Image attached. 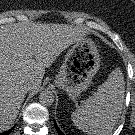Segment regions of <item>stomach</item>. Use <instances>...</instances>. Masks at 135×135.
I'll return each instance as SVG.
<instances>
[{
    "mask_svg": "<svg viewBox=\"0 0 135 135\" xmlns=\"http://www.w3.org/2000/svg\"><path fill=\"white\" fill-rule=\"evenodd\" d=\"M100 62L95 43L90 38H82L68 50L55 82L75 99L90 86Z\"/></svg>",
    "mask_w": 135,
    "mask_h": 135,
    "instance_id": "0dacf381",
    "label": "stomach"
}]
</instances>
